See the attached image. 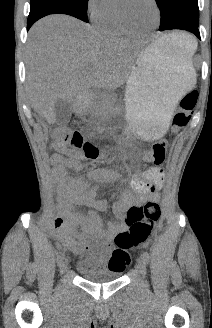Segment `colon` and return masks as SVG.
I'll return each instance as SVG.
<instances>
[{
    "label": "colon",
    "instance_id": "5ec220e1",
    "mask_svg": "<svg viewBox=\"0 0 212 328\" xmlns=\"http://www.w3.org/2000/svg\"><path fill=\"white\" fill-rule=\"evenodd\" d=\"M198 99L195 90L186 93L179 102V106L171 122V131L178 133L189 123ZM57 146L68 145L73 152L80 154L86 160H95L99 157L98 148L89 141H85L77 131L67 128H56L52 133ZM168 143L165 139L155 142L146 157V165L149 163L160 165L163 163ZM160 208L154 202L144 205L132 206L126 213V221L129 229L120 232L115 237L116 249L110 257V264L118 263L126 267L130 263L128 251L147 241L150 237L154 223L160 217Z\"/></svg>",
    "mask_w": 212,
    "mask_h": 328
}]
</instances>
